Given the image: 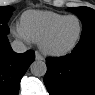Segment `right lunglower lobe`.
I'll return each instance as SVG.
<instances>
[{"label":"right lung lower lobe","mask_w":95,"mask_h":95,"mask_svg":"<svg viewBox=\"0 0 95 95\" xmlns=\"http://www.w3.org/2000/svg\"><path fill=\"white\" fill-rule=\"evenodd\" d=\"M5 32H0V95H17L20 80L35 56L32 51L15 53Z\"/></svg>","instance_id":"obj_1"}]
</instances>
